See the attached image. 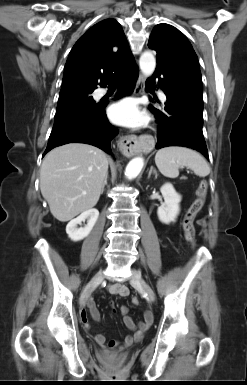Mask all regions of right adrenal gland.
Listing matches in <instances>:
<instances>
[{
	"label": "right adrenal gland",
	"mask_w": 247,
	"mask_h": 385,
	"mask_svg": "<svg viewBox=\"0 0 247 385\" xmlns=\"http://www.w3.org/2000/svg\"><path fill=\"white\" fill-rule=\"evenodd\" d=\"M107 179H108V176H106L105 179H104V182H103V185H102V189H101V194H103L104 187L107 185Z\"/></svg>",
	"instance_id": "right-adrenal-gland-1"
}]
</instances>
